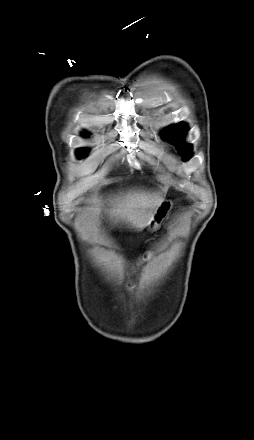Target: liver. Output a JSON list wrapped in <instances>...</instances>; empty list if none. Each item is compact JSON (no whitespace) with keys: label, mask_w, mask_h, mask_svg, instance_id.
Returning a JSON list of instances; mask_svg holds the SVG:
<instances>
[{"label":"liver","mask_w":254,"mask_h":440,"mask_svg":"<svg viewBox=\"0 0 254 440\" xmlns=\"http://www.w3.org/2000/svg\"><path fill=\"white\" fill-rule=\"evenodd\" d=\"M165 189L162 191L129 190L109 200V209L105 213L114 223H125L142 230L150 225L157 208L164 201ZM96 207L91 208L90 222L94 223L101 212V200L94 199Z\"/></svg>","instance_id":"1"}]
</instances>
